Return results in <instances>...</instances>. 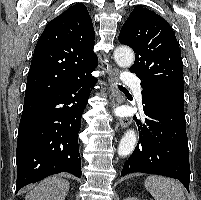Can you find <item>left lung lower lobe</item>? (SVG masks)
<instances>
[{
  "label": "left lung lower lobe",
  "mask_w": 201,
  "mask_h": 200,
  "mask_svg": "<svg viewBox=\"0 0 201 200\" xmlns=\"http://www.w3.org/2000/svg\"><path fill=\"white\" fill-rule=\"evenodd\" d=\"M145 124L121 176L141 172L178 179L189 191L190 165L183 108V86L165 84L142 90Z\"/></svg>",
  "instance_id": "obj_1"
}]
</instances>
